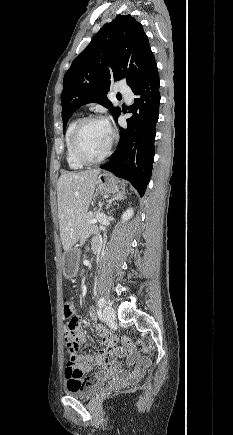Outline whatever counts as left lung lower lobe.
Listing matches in <instances>:
<instances>
[{"instance_id": "left-lung-lower-lobe-1", "label": "left lung lower lobe", "mask_w": 233, "mask_h": 435, "mask_svg": "<svg viewBox=\"0 0 233 435\" xmlns=\"http://www.w3.org/2000/svg\"><path fill=\"white\" fill-rule=\"evenodd\" d=\"M131 89L136 95L129 107L133 115L127 119V128H120L121 139L112 159L101 168L128 180L143 196L151 178L155 127L159 115V74L156 63Z\"/></svg>"}]
</instances>
